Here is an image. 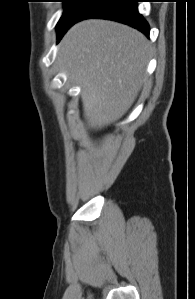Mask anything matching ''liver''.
<instances>
[{"label": "liver", "instance_id": "obj_1", "mask_svg": "<svg viewBox=\"0 0 195 299\" xmlns=\"http://www.w3.org/2000/svg\"><path fill=\"white\" fill-rule=\"evenodd\" d=\"M149 54L143 34L112 21H82L66 33L57 62L81 86L92 127L108 126L131 107L145 81Z\"/></svg>", "mask_w": 195, "mask_h": 299}]
</instances>
